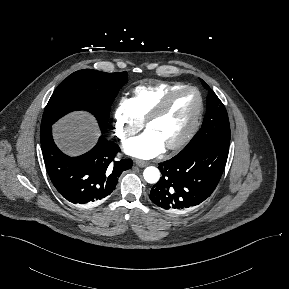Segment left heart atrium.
<instances>
[{
  "instance_id": "39dd6f15",
  "label": "left heart atrium",
  "mask_w": 289,
  "mask_h": 289,
  "mask_svg": "<svg viewBox=\"0 0 289 289\" xmlns=\"http://www.w3.org/2000/svg\"><path fill=\"white\" fill-rule=\"evenodd\" d=\"M124 149L131 156L149 159L160 154L164 145L151 131L146 130L140 136L127 141L124 144Z\"/></svg>"
}]
</instances>
